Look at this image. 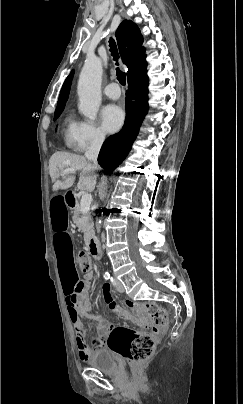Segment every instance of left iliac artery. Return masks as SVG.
I'll list each match as a JSON object with an SVG mask.
<instances>
[{
  "label": "left iliac artery",
  "mask_w": 243,
  "mask_h": 404,
  "mask_svg": "<svg viewBox=\"0 0 243 404\" xmlns=\"http://www.w3.org/2000/svg\"><path fill=\"white\" fill-rule=\"evenodd\" d=\"M111 281H112L113 285H115V281L113 280V278H111Z\"/></svg>",
  "instance_id": "left-iliac-artery-1"
}]
</instances>
